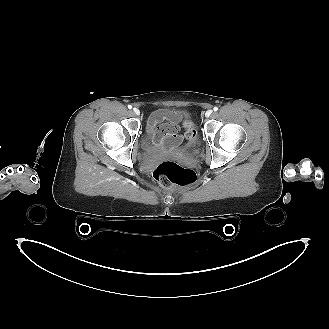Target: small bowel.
I'll return each mask as SVG.
<instances>
[{
	"instance_id": "obj_1",
	"label": "small bowel",
	"mask_w": 329,
	"mask_h": 329,
	"mask_svg": "<svg viewBox=\"0 0 329 329\" xmlns=\"http://www.w3.org/2000/svg\"><path fill=\"white\" fill-rule=\"evenodd\" d=\"M163 116L154 113L149 119L148 130L152 132L154 142L160 146L165 145L167 149L177 146L181 141V136L177 133L176 122L162 123Z\"/></svg>"
}]
</instances>
